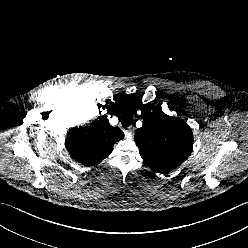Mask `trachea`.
Returning <instances> with one entry per match:
<instances>
[{
  "label": "trachea",
  "mask_w": 248,
  "mask_h": 248,
  "mask_svg": "<svg viewBox=\"0 0 248 248\" xmlns=\"http://www.w3.org/2000/svg\"><path fill=\"white\" fill-rule=\"evenodd\" d=\"M133 122V115L130 111L126 110L121 115V124L124 128L129 127Z\"/></svg>",
  "instance_id": "obj_1"
}]
</instances>
